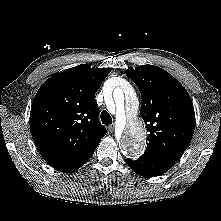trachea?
<instances>
[{"label":"trachea","mask_w":221,"mask_h":221,"mask_svg":"<svg viewBox=\"0 0 221 221\" xmlns=\"http://www.w3.org/2000/svg\"><path fill=\"white\" fill-rule=\"evenodd\" d=\"M100 117H101V121H102L103 124L109 125V124L112 123V118H111L110 114L107 111H105V110L102 111Z\"/></svg>","instance_id":"trachea-1"}]
</instances>
